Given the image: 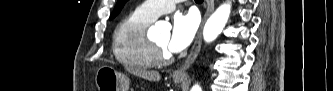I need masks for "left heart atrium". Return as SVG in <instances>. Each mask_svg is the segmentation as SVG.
Segmentation results:
<instances>
[{
    "mask_svg": "<svg viewBox=\"0 0 333 91\" xmlns=\"http://www.w3.org/2000/svg\"><path fill=\"white\" fill-rule=\"evenodd\" d=\"M199 19L194 13L179 14L174 17L167 49L178 53L190 45L195 37Z\"/></svg>",
    "mask_w": 333,
    "mask_h": 91,
    "instance_id": "obj_1",
    "label": "left heart atrium"
}]
</instances>
